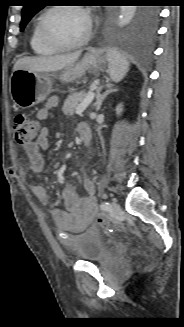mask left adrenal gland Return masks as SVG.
<instances>
[{"label":"left adrenal gland","mask_w":184,"mask_h":327,"mask_svg":"<svg viewBox=\"0 0 184 327\" xmlns=\"http://www.w3.org/2000/svg\"><path fill=\"white\" fill-rule=\"evenodd\" d=\"M104 86H99L96 91V102L94 103L96 111H99L104 99L109 95L110 93H114L117 91V89H113L112 85L109 83L106 84V87L108 88L105 93L101 94V91Z\"/></svg>","instance_id":"a2214340"}]
</instances>
